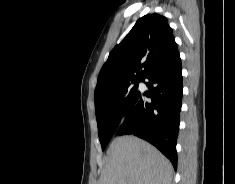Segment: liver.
I'll return each mask as SVG.
<instances>
[{
  "mask_svg": "<svg viewBox=\"0 0 235 184\" xmlns=\"http://www.w3.org/2000/svg\"><path fill=\"white\" fill-rule=\"evenodd\" d=\"M101 184H171L173 168L154 146L135 136H120L107 150Z\"/></svg>",
  "mask_w": 235,
  "mask_h": 184,
  "instance_id": "liver-1",
  "label": "liver"
}]
</instances>
